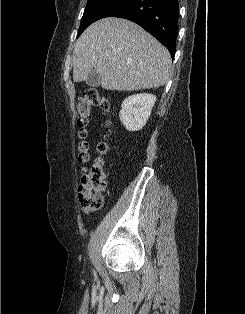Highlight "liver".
<instances>
[{
    "instance_id": "liver-1",
    "label": "liver",
    "mask_w": 245,
    "mask_h": 314,
    "mask_svg": "<svg viewBox=\"0 0 245 314\" xmlns=\"http://www.w3.org/2000/svg\"><path fill=\"white\" fill-rule=\"evenodd\" d=\"M169 51L139 25L109 17L91 24L76 41L73 80L85 81L94 69L103 89L158 88L170 77Z\"/></svg>"
}]
</instances>
